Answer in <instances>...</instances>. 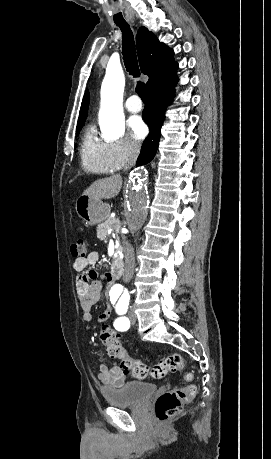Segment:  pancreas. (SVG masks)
Wrapping results in <instances>:
<instances>
[{
	"mask_svg": "<svg viewBox=\"0 0 271 459\" xmlns=\"http://www.w3.org/2000/svg\"><path fill=\"white\" fill-rule=\"evenodd\" d=\"M110 228L115 229L116 235H118V231L120 229V222L118 218H108L105 224H101L100 232L98 233V236L102 237L103 235H108V229Z\"/></svg>",
	"mask_w": 271,
	"mask_h": 459,
	"instance_id": "cf45deb5",
	"label": "pancreas"
}]
</instances>
